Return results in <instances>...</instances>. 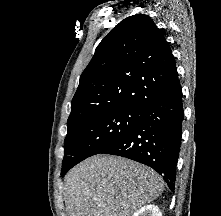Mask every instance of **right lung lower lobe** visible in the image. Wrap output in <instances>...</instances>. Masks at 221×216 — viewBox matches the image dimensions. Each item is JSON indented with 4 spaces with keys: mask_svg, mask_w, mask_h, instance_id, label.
Instances as JSON below:
<instances>
[{
    "mask_svg": "<svg viewBox=\"0 0 221 216\" xmlns=\"http://www.w3.org/2000/svg\"><path fill=\"white\" fill-rule=\"evenodd\" d=\"M183 117L182 88L176 78L140 108L135 127L102 153L150 166L174 191Z\"/></svg>",
    "mask_w": 221,
    "mask_h": 216,
    "instance_id": "right-lung-lower-lobe-1",
    "label": "right lung lower lobe"
}]
</instances>
